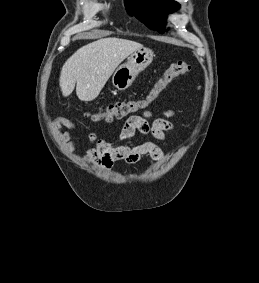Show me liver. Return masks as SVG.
Segmentation results:
<instances>
[{"instance_id":"liver-1","label":"liver","mask_w":259,"mask_h":283,"mask_svg":"<svg viewBox=\"0 0 259 283\" xmlns=\"http://www.w3.org/2000/svg\"><path fill=\"white\" fill-rule=\"evenodd\" d=\"M140 48H143L140 43L115 37L102 38L81 47L62 67L59 78L62 95L69 96L76 84L80 100H94L118 65Z\"/></svg>"}]
</instances>
